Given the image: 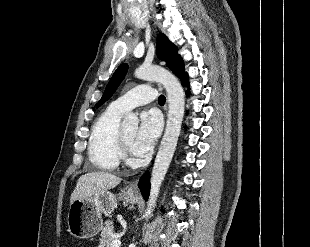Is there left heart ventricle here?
I'll return each instance as SVG.
<instances>
[{
    "mask_svg": "<svg viewBox=\"0 0 310 247\" xmlns=\"http://www.w3.org/2000/svg\"><path fill=\"white\" fill-rule=\"evenodd\" d=\"M136 134V129L135 128H130V129H126L123 130V135L125 137V140L127 141V143L132 146V142L134 140Z\"/></svg>",
    "mask_w": 310,
    "mask_h": 247,
    "instance_id": "obj_1",
    "label": "left heart ventricle"
}]
</instances>
